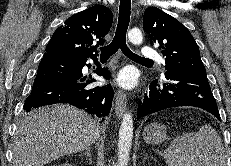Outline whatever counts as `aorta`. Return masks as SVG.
<instances>
[{"mask_svg": "<svg viewBox=\"0 0 231 166\" xmlns=\"http://www.w3.org/2000/svg\"><path fill=\"white\" fill-rule=\"evenodd\" d=\"M129 41L135 45L142 43L143 36L139 29H132L128 32ZM133 137V118L130 112L123 116L119 130L118 140V166H127Z\"/></svg>", "mask_w": 231, "mask_h": 166, "instance_id": "aorta-1", "label": "aorta"}]
</instances>
